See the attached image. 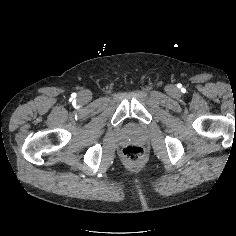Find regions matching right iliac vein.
I'll return each instance as SVG.
<instances>
[{
	"mask_svg": "<svg viewBox=\"0 0 236 236\" xmlns=\"http://www.w3.org/2000/svg\"><path fill=\"white\" fill-rule=\"evenodd\" d=\"M90 99H91V94L89 91H82L77 96V100L81 104L88 103Z\"/></svg>",
	"mask_w": 236,
	"mask_h": 236,
	"instance_id": "63e3f726",
	"label": "right iliac vein"
}]
</instances>
